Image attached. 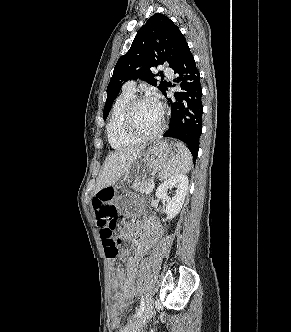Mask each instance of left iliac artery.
Instances as JSON below:
<instances>
[{
  "instance_id": "obj_1",
  "label": "left iliac artery",
  "mask_w": 291,
  "mask_h": 332,
  "mask_svg": "<svg viewBox=\"0 0 291 332\" xmlns=\"http://www.w3.org/2000/svg\"><path fill=\"white\" fill-rule=\"evenodd\" d=\"M144 308H145V301H144V297L142 296L140 307L133 318L139 317L142 314V312L144 311Z\"/></svg>"
}]
</instances>
